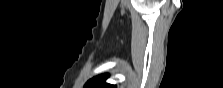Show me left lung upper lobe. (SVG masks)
Segmentation results:
<instances>
[{
	"mask_svg": "<svg viewBox=\"0 0 223 88\" xmlns=\"http://www.w3.org/2000/svg\"><path fill=\"white\" fill-rule=\"evenodd\" d=\"M108 77H109V74H103V75L94 77L93 79L89 80L85 84V87H88V88H116L115 85L105 83V80Z\"/></svg>",
	"mask_w": 223,
	"mask_h": 88,
	"instance_id": "1",
	"label": "left lung upper lobe"
}]
</instances>
